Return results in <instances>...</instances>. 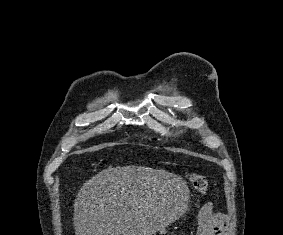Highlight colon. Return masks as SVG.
Here are the masks:
<instances>
[{"label": "colon", "instance_id": "obj_1", "mask_svg": "<svg viewBox=\"0 0 283 235\" xmlns=\"http://www.w3.org/2000/svg\"><path fill=\"white\" fill-rule=\"evenodd\" d=\"M189 179L196 191L201 194H206L208 190V182L205 176L200 173L193 172L189 175Z\"/></svg>", "mask_w": 283, "mask_h": 235}]
</instances>
